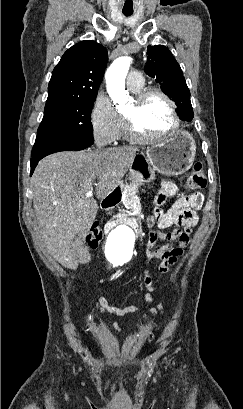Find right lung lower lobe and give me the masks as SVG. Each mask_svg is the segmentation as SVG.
<instances>
[{
    "label": "right lung lower lobe",
    "instance_id": "right-lung-lower-lobe-1",
    "mask_svg": "<svg viewBox=\"0 0 243 409\" xmlns=\"http://www.w3.org/2000/svg\"><path fill=\"white\" fill-rule=\"evenodd\" d=\"M94 138L87 136L76 137H55L46 135H37L32 150L31 174L34 172L38 161L43 157L60 151L83 150L93 144Z\"/></svg>",
    "mask_w": 243,
    "mask_h": 409
}]
</instances>
